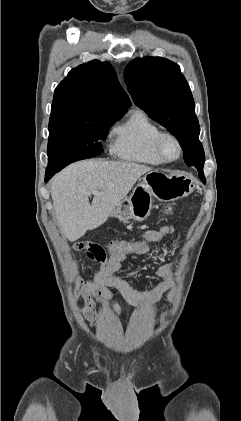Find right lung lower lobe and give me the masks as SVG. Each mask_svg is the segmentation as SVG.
Returning <instances> with one entry per match:
<instances>
[{
    "instance_id": "98d812e1",
    "label": "right lung lower lobe",
    "mask_w": 241,
    "mask_h": 421,
    "mask_svg": "<svg viewBox=\"0 0 241 421\" xmlns=\"http://www.w3.org/2000/svg\"><path fill=\"white\" fill-rule=\"evenodd\" d=\"M59 169L51 170L47 169L45 174V181L49 180L56 172H59Z\"/></svg>"
}]
</instances>
